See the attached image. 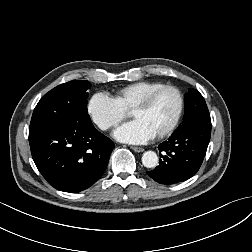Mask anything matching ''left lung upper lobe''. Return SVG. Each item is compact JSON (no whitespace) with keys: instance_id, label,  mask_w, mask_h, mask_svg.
<instances>
[{"instance_id":"1","label":"left lung upper lobe","mask_w":252,"mask_h":252,"mask_svg":"<svg viewBox=\"0 0 252 252\" xmlns=\"http://www.w3.org/2000/svg\"><path fill=\"white\" fill-rule=\"evenodd\" d=\"M185 113L182 124L177 130L193 124H211L210 114L203 96L195 89L185 95ZM176 130V131H177Z\"/></svg>"}]
</instances>
